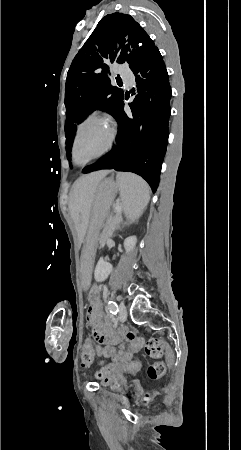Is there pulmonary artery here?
<instances>
[{
  "label": "pulmonary artery",
  "instance_id": "obj_1",
  "mask_svg": "<svg viewBox=\"0 0 241 450\" xmlns=\"http://www.w3.org/2000/svg\"><path fill=\"white\" fill-rule=\"evenodd\" d=\"M135 78L134 71H120L118 73L119 84H124L127 88L132 86V82Z\"/></svg>",
  "mask_w": 241,
  "mask_h": 450
}]
</instances>
